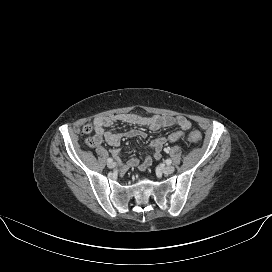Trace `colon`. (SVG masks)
Instances as JSON below:
<instances>
[{
	"label": "colon",
	"mask_w": 272,
	"mask_h": 272,
	"mask_svg": "<svg viewBox=\"0 0 272 272\" xmlns=\"http://www.w3.org/2000/svg\"><path fill=\"white\" fill-rule=\"evenodd\" d=\"M92 125L90 123H87L86 125H84L83 127V133L87 136L86 138V144L89 146H94L95 142H94V137H91V133H92ZM188 139L190 142L192 143H199L202 139V136L199 132H192L190 133V135L188 136Z\"/></svg>",
	"instance_id": "1"
}]
</instances>
